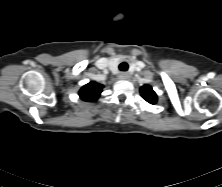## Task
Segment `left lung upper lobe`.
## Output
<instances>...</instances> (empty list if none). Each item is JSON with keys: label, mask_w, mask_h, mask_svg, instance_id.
Wrapping results in <instances>:
<instances>
[{"label": "left lung upper lobe", "mask_w": 222, "mask_h": 187, "mask_svg": "<svg viewBox=\"0 0 222 187\" xmlns=\"http://www.w3.org/2000/svg\"><path fill=\"white\" fill-rule=\"evenodd\" d=\"M141 96L150 104L157 102V95L149 85H144L140 88Z\"/></svg>", "instance_id": "obj_1"}]
</instances>
